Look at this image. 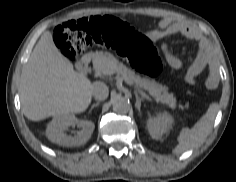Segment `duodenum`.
<instances>
[{"label":"duodenum","instance_id":"duodenum-1","mask_svg":"<svg viewBox=\"0 0 236 182\" xmlns=\"http://www.w3.org/2000/svg\"><path fill=\"white\" fill-rule=\"evenodd\" d=\"M90 62H91V57L84 56L77 64L78 72L83 75L87 74Z\"/></svg>","mask_w":236,"mask_h":182}]
</instances>
